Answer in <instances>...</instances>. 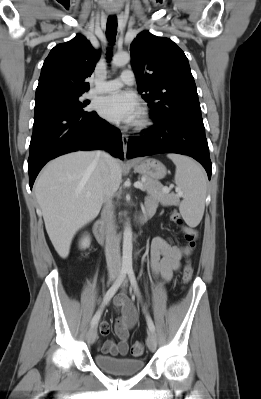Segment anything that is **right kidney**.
I'll return each instance as SVG.
<instances>
[{
  "instance_id": "ca27d5eb",
  "label": "right kidney",
  "mask_w": 261,
  "mask_h": 399,
  "mask_svg": "<svg viewBox=\"0 0 261 399\" xmlns=\"http://www.w3.org/2000/svg\"><path fill=\"white\" fill-rule=\"evenodd\" d=\"M90 238L88 236L84 237L81 241V247L86 248L89 246Z\"/></svg>"
}]
</instances>
